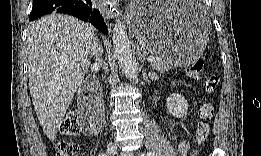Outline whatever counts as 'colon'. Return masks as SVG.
I'll list each match as a JSON object with an SVG mask.
<instances>
[{"label": "colon", "instance_id": "1", "mask_svg": "<svg viewBox=\"0 0 261 156\" xmlns=\"http://www.w3.org/2000/svg\"><path fill=\"white\" fill-rule=\"evenodd\" d=\"M204 66V62L201 59L196 60L188 69V74L192 78H198ZM219 79L215 74L209 73L206 75L203 81V87L207 94L211 95L215 93L218 87ZM214 116V106L212 102L208 101L201 105L199 109V122L197 124L195 140L197 144H202L206 140L210 131V121ZM90 134L97 133V128L94 123L84 121L81 123L77 112H69L65 117L61 125V133L67 137H73L78 135L82 128ZM78 147L75 144L67 141H60L57 147V155L60 156H72L76 155Z\"/></svg>", "mask_w": 261, "mask_h": 156}]
</instances>
